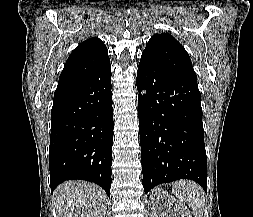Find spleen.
I'll use <instances>...</instances> for the list:
<instances>
[{
  "instance_id": "obj_1",
  "label": "spleen",
  "mask_w": 253,
  "mask_h": 217,
  "mask_svg": "<svg viewBox=\"0 0 253 217\" xmlns=\"http://www.w3.org/2000/svg\"><path fill=\"white\" fill-rule=\"evenodd\" d=\"M172 192L179 202H186L192 208L194 217H202L205 197L203 189L197 183L189 180H179L173 184Z\"/></svg>"
}]
</instances>
